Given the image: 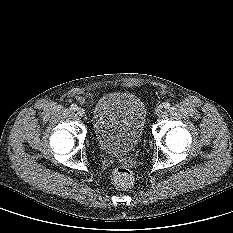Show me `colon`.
Masks as SVG:
<instances>
[{
	"mask_svg": "<svg viewBox=\"0 0 233 233\" xmlns=\"http://www.w3.org/2000/svg\"><path fill=\"white\" fill-rule=\"evenodd\" d=\"M112 179L115 186L123 190L130 188L134 183L132 171L123 166L115 169Z\"/></svg>",
	"mask_w": 233,
	"mask_h": 233,
	"instance_id": "colon-1",
	"label": "colon"
}]
</instances>
